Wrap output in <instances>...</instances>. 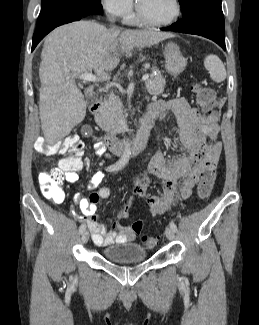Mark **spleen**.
Listing matches in <instances>:
<instances>
[{"mask_svg":"<svg viewBox=\"0 0 259 325\" xmlns=\"http://www.w3.org/2000/svg\"><path fill=\"white\" fill-rule=\"evenodd\" d=\"M204 66L213 81L220 83L226 79L225 66L217 55H208L204 60Z\"/></svg>","mask_w":259,"mask_h":325,"instance_id":"3e777b00","label":"spleen"}]
</instances>
